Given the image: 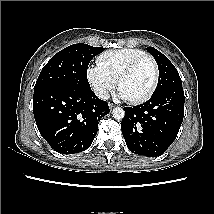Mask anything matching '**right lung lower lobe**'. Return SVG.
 Wrapping results in <instances>:
<instances>
[{
    "label": "right lung lower lobe",
    "instance_id": "1",
    "mask_svg": "<svg viewBox=\"0 0 214 214\" xmlns=\"http://www.w3.org/2000/svg\"><path fill=\"white\" fill-rule=\"evenodd\" d=\"M33 112L38 130L57 152L74 154L90 147L108 103L91 89L47 84L34 89Z\"/></svg>",
    "mask_w": 214,
    "mask_h": 214
}]
</instances>
